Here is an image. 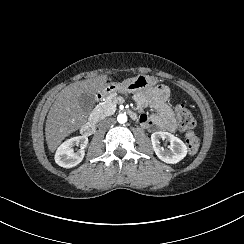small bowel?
<instances>
[{
  "mask_svg": "<svg viewBox=\"0 0 244 244\" xmlns=\"http://www.w3.org/2000/svg\"><path fill=\"white\" fill-rule=\"evenodd\" d=\"M139 109L137 120L145 127L169 130L173 127V110L169 103L170 91L161 85L154 88H142L131 92ZM149 109L151 112H146Z\"/></svg>",
  "mask_w": 244,
  "mask_h": 244,
  "instance_id": "small-bowel-1",
  "label": "small bowel"
}]
</instances>
